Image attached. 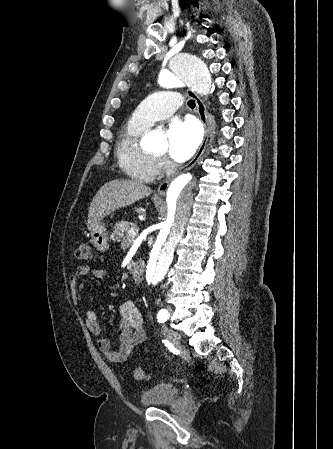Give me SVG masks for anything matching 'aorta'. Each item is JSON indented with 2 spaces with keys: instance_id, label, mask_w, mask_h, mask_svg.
<instances>
[{
  "instance_id": "1",
  "label": "aorta",
  "mask_w": 333,
  "mask_h": 449,
  "mask_svg": "<svg viewBox=\"0 0 333 449\" xmlns=\"http://www.w3.org/2000/svg\"><path fill=\"white\" fill-rule=\"evenodd\" d=\"M159 83L163 87L189 86L201 95H208L214 89L207 65L200 58L189 54L171 57L159 73ZM146 139L152 148H167L164 139L156 134L150 133ZM198 185L199 179L193 174H182L171 181L167 190V219L161 224L147 264L148 283L157 284L166 275L175 246L190 217Z\"/></svg>"
}]
</instances>
